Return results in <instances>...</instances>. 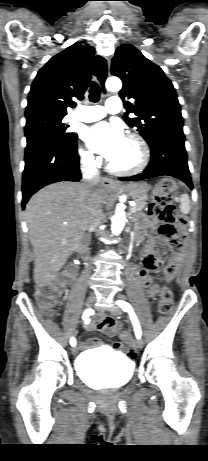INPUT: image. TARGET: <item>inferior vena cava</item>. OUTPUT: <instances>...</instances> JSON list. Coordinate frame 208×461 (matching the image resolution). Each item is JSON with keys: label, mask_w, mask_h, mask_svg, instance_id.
Segmentation results:
<instances>
[{"label": "inferior vena cava", "mask_w": 208, "mask_h": 461, "mask_svg": "<svg viewBox=\"0 0 208 461\" xmlns=\"http://www.w3.org/2000/svg\"><path fill=\"white\" fill-rule=\"evenodd\" d=\"M81 170L83 173L84 185L90 195V214L88 217V223L90 228L97 231L98 234H101L99 227L103 222L104 215L99 201L96 198V190L100 182V178L98 171L95 168L94 157L92 155H88L82 158Z\"/></svg>", "instance_id": "obj_1"}]
</instances>
